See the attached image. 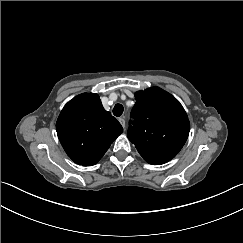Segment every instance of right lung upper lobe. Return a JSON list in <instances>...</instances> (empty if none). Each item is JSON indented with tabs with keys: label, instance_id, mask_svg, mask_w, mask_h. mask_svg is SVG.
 I'll return each mask as SVG.
<instances>
[{
	"label": "right lung upper lobe",
	"instance_id": "1",
	"mask_svg": "<svg viewBox=\"0 0 243 243\" xmlns=\"http://www.w3.org/2000/svg\"><path fill=\"white\" fill-rule=\"evenodd\" d=\"M56 130L67 155L82 166L96 164L123 132L94 93H83L70 100L58 117Z\"/></svg>",
	"mask_w": 243,
	"mask_h": 243
}]
</instances>
